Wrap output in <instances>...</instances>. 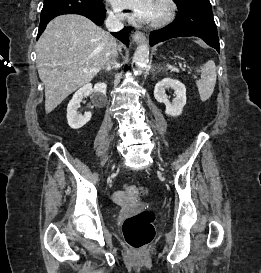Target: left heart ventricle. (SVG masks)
<instances>
[{
  "label": "left heart ventricle",
  "mask_w": 261,
  "mask_h": 273,
  "mask_svg": "<svg viewBox=\"0 0 261 273\" xmlns=\"http://www.w3.org/2000/svg\"><path fill=\"white\" fill-rule=\"evenodd\" d=\"M162 13V8L161 6L156 2L155 4V11L152 19L158 18Z\"/></svg>",
  "instance_id": "obj_1"
}]
</instances>
